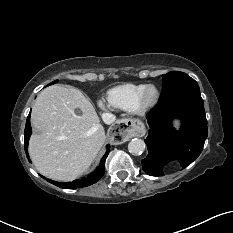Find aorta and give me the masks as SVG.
Listing matches in <instances>:
<instances>
[{
	"label": "aorta",
	"instance_id": "obj_1",
	"mask_svg": "<svg viewBox=\"0 0 233 233\" xmlns=\"http://www.w3.org/2000/svg\"><path fill=\"white\" fill-rule=\"evenodd\" d=\"M145 142L142 139H132L128 144V150L133 155L142 154L145 150Z\"/></svg>",
	"mask_w": 233,
	"mask_h": 233
}]
</instances>
